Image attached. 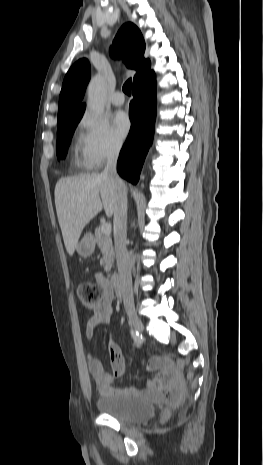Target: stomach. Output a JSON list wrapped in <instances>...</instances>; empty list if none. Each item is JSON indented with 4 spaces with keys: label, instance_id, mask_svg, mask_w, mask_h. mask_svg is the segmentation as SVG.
Masks as SVG:
<instances>
[{
    "label": "stomach",
    "instance_id": "1",
    "mask_svg": "<svg viewBox=\"0 0 263 465\" xmlns=\"http://www.w3.org/2000/svg\"><path fill=\"white\" fill-rule=\"evenodd\" d=\"M94 250L95 240L90 233L85 234L76 246L77 253L83 258L91 256Z\"/></svg>",
    "mask_w": 263,
    "mask_h": 465
}]
</instances>
